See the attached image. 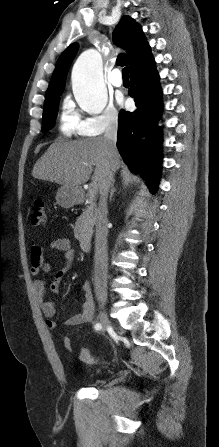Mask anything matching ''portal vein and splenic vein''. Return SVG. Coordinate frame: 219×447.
Instances as JSON below:
<instances>
[{"label":"portal vein and splenic vein","instance_id":"portal-vein-and-splenic-vein-1","mask_svg":"<svg viewBox=\"0 0 219 447\" xmlns=\"http://www.w3.org/2000/svg\"><path fill=\"white\" fill-rule=\"evenodd\" d=\"M97 192V185L95 182L91 183L90 188L88 190V193L92 196H94Z\"/></svg>","mask_w":219,"mask_h":447}]
</instances>
